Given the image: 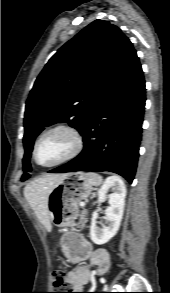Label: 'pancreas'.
I'll use <instances>...</instances> for the list:
<instances>
[{
	"label": "pancreas",
	"mask_w": 170,
	"mask_h": 293,
	"mask_svg": "<svg viewBox=\"0 0 170 293\" xmlns=\"http://www.w3.org/2000/svg\"><path fill=\"white\" fill-rule=\"evenodd\" d=\"M88 219H87V212L86 211H82V213L79 216V221L76 224L78 227L83 228L85 227V224L87 223Z\"/></svg>",
	"instance_id": "cf45deb5"
}]
</instances>
